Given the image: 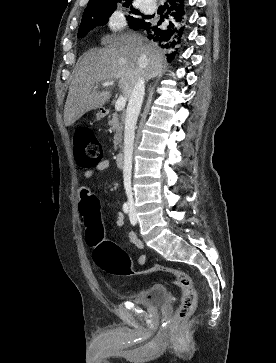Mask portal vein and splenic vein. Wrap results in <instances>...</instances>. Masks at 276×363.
Returning a JSON list of instances; mask_svg holds the SVG:
<instances>
[{
    "mask_svg": "<svg viewBox=\"0 0 276 363\" xmlns=\"http://www.w3.org/2000/svg\"><path fill=\"white\" fill-rule=\"evenodd\" d=\"M112 85H114V81H107L102 84L103 87H110ZM125 105H126V98L122 96L119 97L115 103L116 111H122L125 108Z\"/></svg>",
    "mask_w": 276,
    "mask_h": 363,
    "instance_id": "portal-vein-and-splenic-vein-1",
    "label": "portal vein and splenic vein"
}]
</instances>
